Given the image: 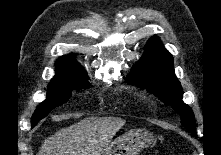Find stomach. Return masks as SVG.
I'll return each mask as SVG.
<instances>
[{
	"label": "stomach",
	"mask_w": 221,
	"mask_h": 155,
	"mask_svg": "<svg viewBox=\"0 0 221 155\" xmlns=\"http://www.w3.org/2000/svg\"><path fill=\"white\" fill-rule=\"evenodd\" d=\"M154 137L145 129H134L117 137L102 155H139L151 146Z\"/></svg>",
	"instance_id": "stomach-1"
}]
</instances>
